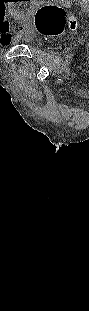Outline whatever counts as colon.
<instances>
[{"instance_id":"colon-1","label":"colon","mask_w":89,"mask_h":311,"mask_svg":"<svg viewBox=\"0 0 89 311\" xmlns=\"http://www.w3.org/2000/svg\"><path fill=\"white\" fill-rule=\"evenodd\" d=\"M1 22L3 25L9 29L11 24L6 16H1ZM66 22L74 27L75 18L68 15L62 8L54 4H46L40 7L34 18V24L36 30L46 36H55L62 32ZM25 28V24L22 22H17L13 24V29L22 32Z\"/></svg>"}]
</instances>
